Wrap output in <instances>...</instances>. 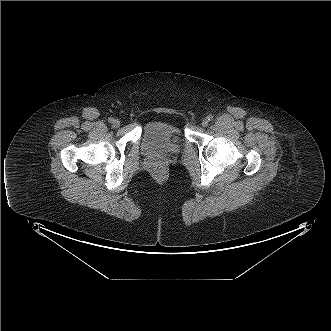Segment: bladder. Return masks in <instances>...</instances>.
Returning <instances> with one entry per match:
<instances>
[{
  "mask_svg": "<svg viewBox=\"0 0 331 331\" xmlns=\"http://www.w3.org/2000/svg\"><path fill=\"white\" fill-rule=\"evenodd\" d=\"M183 145L180 128L170 121H154L147 124L141 134V152L149 157L176 155Z\"/></svg>",
  "mask_w": 331,
  "mask_h": 331,
  "instance_id": "1",
  "label": "bladder"
}]
</instances>
